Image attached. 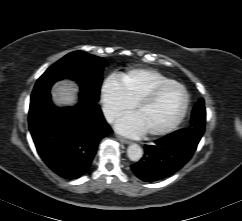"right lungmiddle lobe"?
I'll return each instance as SVG.
<instances>
[{"label": "right lung middle lobe", "instance_id": "right-lung-middle-lobe-1", "mask_svg": "<svg viewBox=\"0 0 242 221\" xmlns=\"http://www.w3.org/2000/svg\"><path fill=\"white\" fill-rule=\"evenodd\" d=\"M107 65L105 59L83 51L69 53L37 80L31 98L48 93L56 81L70 78L80 85V94L84 98L96 103L99 100L102 71Z\"/></svg>", "mask_w": 242, "mask_h": 221}]
</instances>
